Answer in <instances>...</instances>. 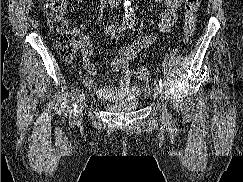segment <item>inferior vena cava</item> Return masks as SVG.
<instances>
[{
	"mask_svg": "<svg viewBox=\"0 0 243 182\" xmlns=\"http://www.w3.org/2000/svg\"><path fill=\"white\" fill-rule=\"evenodd\" d=\"M109 5L113 8H117L119 6V0H108Z\"/></svg>",
	"mask_w": 243,
	"mask_h": 182,
	"instance_id": "1",
	"label": "inferior vena cava"
}]
</instances>
